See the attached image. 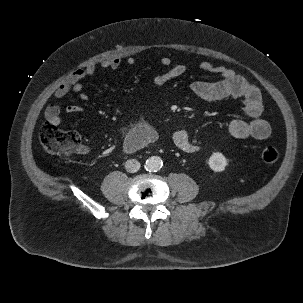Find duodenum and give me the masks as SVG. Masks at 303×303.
I'll return each mask as SVG.
<instances>
[{
  "instance_id": "obj_1",
  "label": "duodenum",
  "mask_w": 303,
  "mask_h": 303,
  "mask_svg": "<svg viewBox=\"0 0 303 303\" xmlns=\"http://www.w3.org/2000/svg\"><path fill=\"white\" fill-rule=\"evenodd\" d=\"M155 138L154 132L149 128H138L131 131L125 139L127 151H135L142 146L152 142Z\"/></svg>"
}]
</instances>
